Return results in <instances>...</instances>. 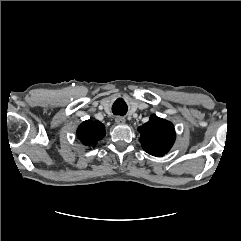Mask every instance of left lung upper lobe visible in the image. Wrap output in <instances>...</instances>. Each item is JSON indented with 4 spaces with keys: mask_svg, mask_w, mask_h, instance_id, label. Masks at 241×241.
<instances>
[{
    "mask_svg": "<svg viewBox=\"0 0 241 241\" xmlns=\"http://www.w3.org/2000/svg\"><path fill=\"white\" fill-rule=\"evenodd\" d=\"M138 131L143 149L157 157L168 153L176 138L173 124L156 115H151L149 121L140 126Z\"/></svg>",
    "mask_w": 241,
    "mask_h": 241,
    "instance_id": "left-lung-upper-lobe-1",
    "label": "left lung upper lobe"
}]
</instances>
